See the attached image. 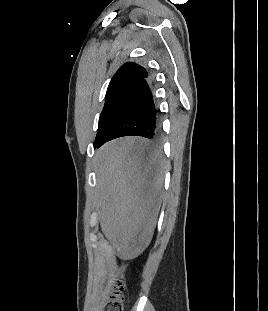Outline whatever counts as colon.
Listing matches in <instances>:
<instances>
[{
	"instance_id": "obj_1",
	"label": "colon",
	"mask_w": 268,
	"mask_h": 311,
	"mask_svg": "<svg viewBox=\"0 0 268 311\" xmlns=\"http://www.w3.org/2000/svg\"><path fill=\"white\" fill-rule=\"evenodd\" d=\"M123 290L124 283L121 279L112 282L103 311H125L126 301Z\"/></svg>"
}]
</instances>
